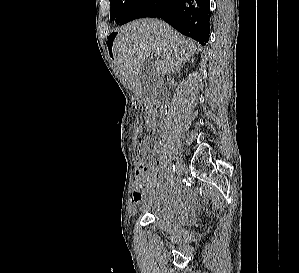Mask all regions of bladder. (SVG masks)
Here are the masks:
<instances>
[{"mask_svg": "<svg viewBox=\"0 0 299 273\" xmlns=\"http://www.w3.org/2000/svg\"><path fill=\"white\" fill-rule=\"evenodd\" d=\"M151 216L155 222L164 227H173L183 221V216L174 211H154Z\"/></svg>", "mask_w": 299, "mask_h": 273, "instance_id": "obj_1", "label": "bladder"}]
</instances>
